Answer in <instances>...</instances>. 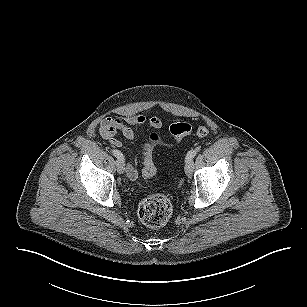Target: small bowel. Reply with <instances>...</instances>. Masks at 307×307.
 Returning a JSON list of instances; mask_svg holds the SVG:
<instances>
[{"mask_svg": "<svg viewBox=\"0 0 307 307\" xmlns=\"http://www.w3.org/2000/svg\"><path fill=\"white\" fill-rule=\"evenodd\" d=\"M148 126L153 129H158L162 126L160 118L153 116L147 118L143 115H132L126 117H109L105 118L100 123V134L112 146L116 148H123V143L117 138L120 133L126 139H133L136 136L138 128ZM137 160L134 158L126 167L127 176L131 180H135L138 176Z\"/></svg>", "mask_w": 307, "mask_h": 307, "instance_id": "1", "label": "small bowel"}]
</instances>
